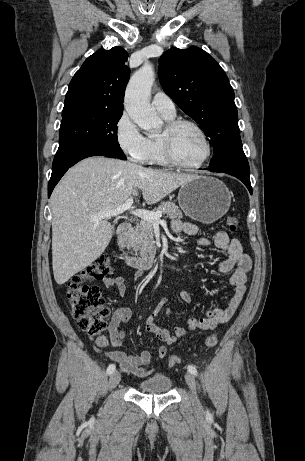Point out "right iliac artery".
Returning <instances> with one entry per match:
<instances>
[{"label": "right iliac artery", "instance_id": "1", "mask_svg": "<svg viewBox=\"0 0 305 461\" xmlns=\"http://www.w3.org/2000/svg\"><path fill=\"white\" fill-rule=\"evenodd\" d=\"M115 368H116L115 364H110L107 368V374L108 375L112 374L115 371Z\"/></svg>", "mask_w": 305, "mask_h": 461}]
</instances>
